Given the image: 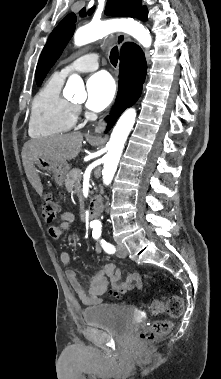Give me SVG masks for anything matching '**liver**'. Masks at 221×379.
Wrapping results in <instances>:
<instances>
[{
  "mask_svg": "<svg viewBox=\"0 0 221 379\" xmlns=\"http://www.w3.org/2000/svg\"><path fill=\"white\" fill-rule=\"evenodd\" d=\"M83 135L73 132L48 138L27 141L22 149V160L26 176L37 193L42 196L43 187L34 164L38 158L56 162L75 159L82 147Z\"/></svg>",
  "mask_w": 221,
  "mask_h": 379,
  "instance_id": "obj_1",
  "label": "liver"
}]
</instances>
